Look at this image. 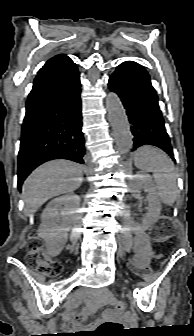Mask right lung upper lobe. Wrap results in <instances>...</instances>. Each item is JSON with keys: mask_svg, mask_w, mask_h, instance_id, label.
<instances>
[{"mask_svg": "<svg viewBox=\"0 0 194 336\" xmlns=\"http://www.w3.org/2000/svg\"><path fill=\"white\" fill-rule=\"evenodd\" d=\"M72 62V60L67 57L66 55L64 54H61V55H57L55 57H53L52 59H50L39 71L38 75L39 74H42L46 71H49L51 69H54L56 67H59V66H62L64 64H67V63H70Z\"/></svg>", "mask_w": 194, "mask_h": 336, "instance_id": "right-lung-upper-lobe-1", "label": "right lung upper lobe"}]
</instances>
